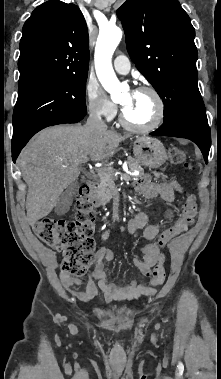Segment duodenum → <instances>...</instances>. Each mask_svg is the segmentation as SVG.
I'll use <instances>...</instances> for the list:
<instances>
[{
  "label": "duodenum",
  "mask_w": 221,
  "mask_h": 379,
  "mask_svg": "<svg viewBox=\"0 0 221 379\" xmlns=\"http://www.w3.org/2000/svg\"><path fill=\"white\" fill-rule=\"evenodd\" d=\"M82 188L91 196L92 183L90 181H85Z\"/></svg>",
  "instance_id": "duodenum-1"
}]
</instances>
